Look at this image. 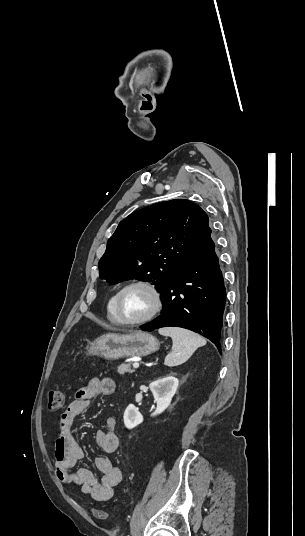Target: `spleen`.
Listing matches in <instances>:
<instances>
[{
    "instance_id": "3e777b00",
    "label": "spleen",
    "mask_w": 305,
    "mask_h": 536,
    "mask_svg": "<svg viewBox=\"0 0 305 536\" xmlns=\"http://www.w3.org/2000/svg\"><path fill=\"white\" fill-rule=\"evenodd\" d=\"M159 334L172 338V352L164 360L165 366H169V368L181 366L193 356L197 348L206 344L205 338L190 332V330H184V328H160Z\"/></svg>"
}]
</instances>
